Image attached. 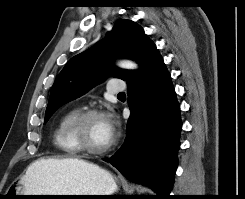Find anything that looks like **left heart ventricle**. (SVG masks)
<instances>
[{
  "label": "left heart ventricle",
  "instance_id": "left-heart-ventricle-1",
  "mask_svg": "<svg viewBox=\"0 0 245 199\" xmlns=\"http://www.w3.org/2000/svg\"><path fill=\"white\" fill-rule=\"evenodd\" d=\"M81 136L84 142L93 148H102L107 146L111 142L112 138L107 131L106 117H91L85 123ZM73 138L74 137H71L72 140Z\"/></svg>",
  "mask_w": 245,
  "mask_h": 199
}]
</instances>
